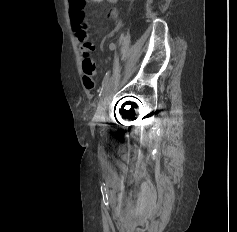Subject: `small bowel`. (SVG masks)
Returning <instances> with one entry per match:
<instances>
[{
	"instance_id": "small-bowel-1",
	"label": "small bowel",
	"mask_w": 237,
	"mask_h": 232,
	"mask_svg": "<svg viewBox=\"0 0 237 232\" xmlns=\"http://www.w3.org/2000/svg\"><path fill=\"white\" fill-rule=\"evenodd\" d=\"M93 3H100L103 0H90ZM82 54L83 85L86 89L92 90L95 87V63L92 57L94 45L86 37L77 35Z\"/></svg>"
}]
</instances>
